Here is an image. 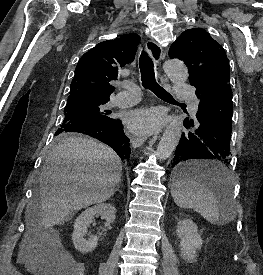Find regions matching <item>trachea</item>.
Returning <instances> with one entry per match:
<instances>
[{
  "mask_svg": "<svg viewBox=\"0 0 263 275\" xmlns=\"http://www.w3.org/2000/svg\"><path fill=\"white\" fill-rule=\"evenodd\" d=\"M139 67L141 72L142 85L144 88L149 89L159 98L173 99L171 94H169L156 82L152 59L145 51H143L140 55Z\"/></svg>",
  "mask_w": 263,
  "mask_h": 275,
  "instance_id": "1",
  "label": "trachea"
}]
</instances>
